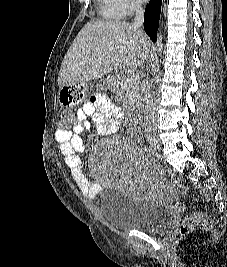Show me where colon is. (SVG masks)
Wrapping results in <instances>:
<instances>
[{
	"label": "colon",
	"mask_w": 227,
	"mask_h": 267,
	"mask_svg": "<svg viewBox=\"0 0 227 267\" xmlns=\"http://www.w3.org/2000/svg\"><path fill=\"white\" fill-rule=\"evenodd\" d=\"M58 118L61 119L62 121L61 130H69V125H71V120L67 119H74L75 115L71 114V110H61V114L58 115ZM160 174L166 180L168 181L172 180V177L168 172L160 170ZM206 223L207 220L205 215L202 212H196L186 216L182 220L179 226V232L182 236H184L191 232L204 228L206 226Z\"/></svg>",
	"instance_id": "5ec220e1"
}]
</instances>
